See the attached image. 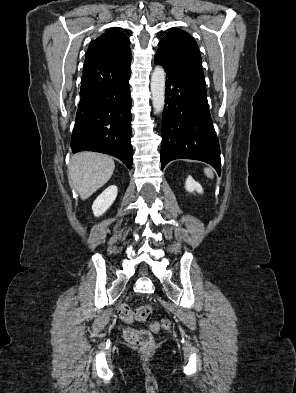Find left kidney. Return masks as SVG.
Segmentation results:
<instances>
[{"mask_svg":"<svg viewBox=\"0 0 296 393\" xmlns=\"http://www.w3.org/2000/svg\"><path fill=\"white\" fill-rule=\"evenodd\" d=\"M185 189L188 192L196 191L197 193H200V194L203 193L202 186L198 182H196L191 176H188L186 179Z\"/></svg>","mask_w":296,"mask_h":393,"instance_id":"left-kidney-1","label":"left kidney"}]
</instances>
